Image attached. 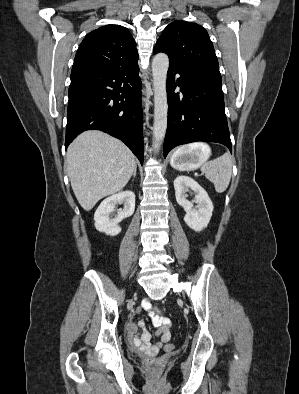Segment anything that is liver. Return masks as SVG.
Here are the masks:
<instances>
[{
	"mask_svg": "<svg viewBox=\"0 0 299 394\" xmlns=\"http://www.w3.org/2000/svg\"><path fill=\"white\" fill-rule=\"evenodd\" d=\"M67 174L86 211L102 198L122 190L133 175L135 157L120 140L101 131H86L68 147Z\"/></svg>",
	"mask_w": 299,
	"mask_h": 394,
	"instance_id": "obj_1",
	"label": "liver"
}]
</instances>
